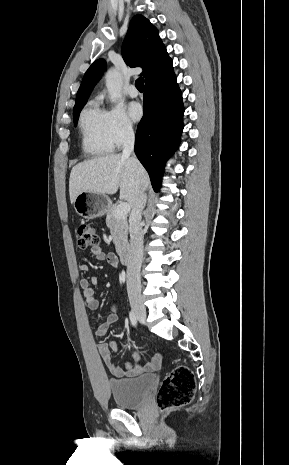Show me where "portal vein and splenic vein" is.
Returning a JSON list of instances; mask_svg holds the SVG:
<instances>
[{
    "label": "portal vein and splenic vein",
    "mask_w": 289,
    "mask_h": 465,
    "mask_svg": "<svg viewBox=\"0 0 289 465\" xmlns=\"http://www.w3.org/2000/svg\"><path fill=\"white\" fill-rule=\"evenodd\" d=\"M130 212V205L127 202L120 203L115 210L116 218H123Z\"/></svg>",
    "instance_id": "1"
}]
</instances>
